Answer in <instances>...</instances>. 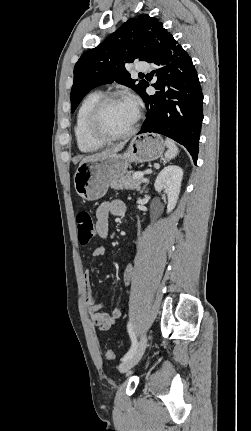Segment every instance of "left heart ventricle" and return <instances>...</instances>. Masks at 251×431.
Returning <instances> with one entry per match:
<instances>
[{
	"instance_id": "b2bd125f",
	"label": "left heart ventricle",
	"mask_w": 251,
	"mask_h": 431,
	"mask_svg": "<svg viewBox=\"0 0 251 431\" xmlns=\"http://www.w3.org/2000/svg\"><path fill=\"white\" fill-rule=\"evenodd\" d=\"M137 109L127 100L110 103L104 109L100 126L109 134H120L127 131L134 123Z\"/></svg>"
}]
</instances>
